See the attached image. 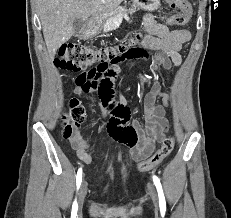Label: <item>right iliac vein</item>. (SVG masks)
<instances>
[{
	"label": "right iliac vein",
	"mask_w": 231,
	"mask_h": 218,
	"mask_svg": "<svg viewBox=\"0 0 231 218\" xmlns=\"http://www.w3.org/2000/svg\"><path fill=\"white\" fill-rule=\"evenodd\" d=\"M86 194H87V185H86L85 181H83V183L80 187L79 197H78L79 210L82 209Z\"/></svg>",
	"instance_id": "obj_1"
}]
</instances>
